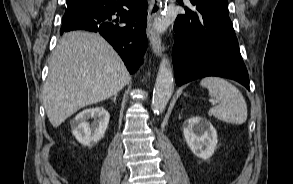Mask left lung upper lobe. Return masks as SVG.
<instances>
[{
  "mask_svg": "<svg viewBox=\"0 0 293 184\" xmlns=\"http://www.w3.org/2000/svg\"><path fill=\"white\" fill-rule=\"evenodd\" d=\"M211 3L217 4V5H223L224 7L228 8V0H207Z\"/></svg>",
  "mask_w": 293,
  "mask_h": 184,
  "instance_id": "1",
  "label": "left lung upper lobe"
}]
</instances>
